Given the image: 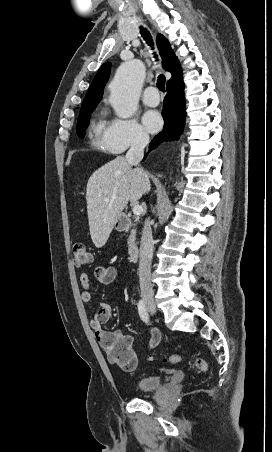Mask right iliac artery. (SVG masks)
Masks as SVG:
<instances>
[{"instance_id":"obj_1","label":"right iliac artery","mask_w":272,"mask_h":452,"mask_svg":"<svg viewBox=\"0 0 272 452\" xmlns=\"http://www.w3.org/2000/svg\"><path fill=\"white\" fill-rule=\"evenodd\" d=\"M138 312H139V315H140L141 319L144 322L148 323L149 322V314H148V311H147V309L145 307V304H144V302L142 300H140L139 303H138Z\"/></svg>"}]
</instances>
